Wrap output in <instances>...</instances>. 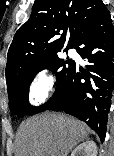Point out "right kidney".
Instances as JSON below:
<instances>
[{"label": "right kidney", "instance_id": "ca27d5eb", "mask_svg": "<svg viewBox=\"0 0 114 156\" xmlns=\"http://www.w3.org/2000/svg\"><path fill=\"white\" fill-rule=\"evenodd\" d=\"M71 156H97V145L94 141H86L78 145Z\"/></svg>", "mask_w": 114, "mask_h": 156}]
</instances>
